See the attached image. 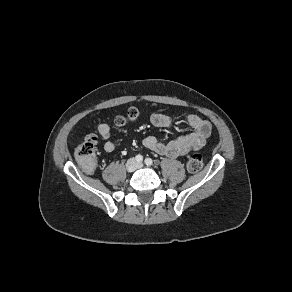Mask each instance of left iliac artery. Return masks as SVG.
<instances>
[{
    "instance_id": "44dca946",
    "label": "left iliac artery",
    "mask_w": 292,
    "mask_h": 292,
    "mask_svg": "<svg viewBox=\"0 0 292 292\" xmlns=\"http://www.w3.org/2000/svg\"><path fill=\"white\" fill-rule=\"evenodd\" d=\"M145 164L148 165V166H150V165L153 164V160L151 158H146L145 159Z\"/></svg>"
}]
</instances>
